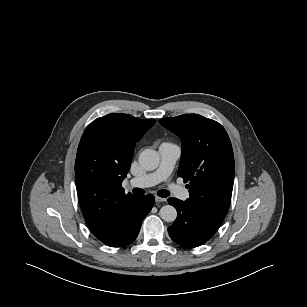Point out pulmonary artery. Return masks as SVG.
I'll use <instances>...</instances> for the list:
<instances>
[{
	"label": "pulmonary artery",
	"instance_id": "1",
	"mask_svg": "<svg viewBox=\"0 0 307 307\" xmlns=\"http://www.w3.org/2000/svg\"><path fill=\"white\" fill-rule=\"evenodd\" d=\"M160 163L158 168L141 177L132 178L130 185L135 187H150L162 181H165L171 175L177 160L181 155V148L175 143L163 142L158 149ZM170 189L174 195L181 200L189 198V192L175 184L170 185Z\"/></svg>",
	"mask_w": 307,
	"mask_h": 307
}]
</instances>
